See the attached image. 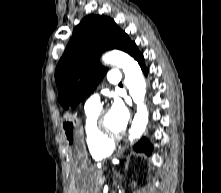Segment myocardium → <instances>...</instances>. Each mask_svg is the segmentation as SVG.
Masks as SVG:
<instances>
[{
    "label": "myocardium",
    "mask_w": 221,
    "mask_h": 193,
    "mask_svg": "<svg viewBox=\"0 0 221 193\" xmlns=\"http://www.w3.org/2000/svg\"><path fill=\"white\" fill-rule=\"evenodd\" d=\"M107 113V110H103L101 111L98 116H97V120H96V130L98 135L100 136V138L109 144H113L116 140H119L122 138L123 133L122 131L120 133H111L109 132L104 124V116Z\"/></svg>",
    "instance_id": "obj_1"
}]
</instances>
